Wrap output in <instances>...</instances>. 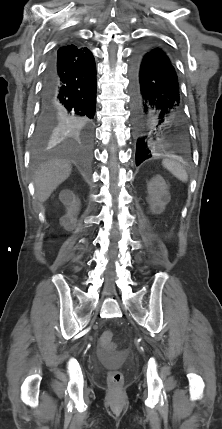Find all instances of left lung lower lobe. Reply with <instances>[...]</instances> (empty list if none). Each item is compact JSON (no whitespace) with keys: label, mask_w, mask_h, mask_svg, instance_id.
Masks as SVG:
<instances>
[{"label":"left lung lower lobe","mask_w":222,"mask_h":429,"mask_svg":"<svg viewBox=\"0 0 222 429\" xmlns=\"http://www.w3.org/2000/svg\"><path fill=\"white\" fill-rule=\"evenodd\" d=\"M130 94L136 165L156 154L188 149V127L178 76L159 45L138 47L131 61Z\"/></svg>","instance_id":"0a47b994"}]
</instances>
